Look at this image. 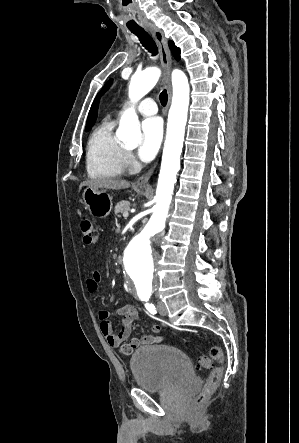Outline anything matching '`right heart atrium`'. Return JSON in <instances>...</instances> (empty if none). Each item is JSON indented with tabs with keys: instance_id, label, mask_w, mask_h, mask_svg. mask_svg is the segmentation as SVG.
Segmentation results:
<instances>
[{
	"instance_id": "d8ad5b80",
	"label": "right heart atrium",
	"mask_w": 299,
	"mask_h": 443,
	"mask_svg": "<svg viewBox=\"0 0 299 443\" xmlns=\"http://www.w3.org/2000/svg\"><path fill=\"white\" fill-rule=\"evenodd\" d=\"M134 163H135V160H134V157H133L132 153L131 152H126V154H125V165L131 167V166L134 165Z\"/></svg>"
}]
</instances>
